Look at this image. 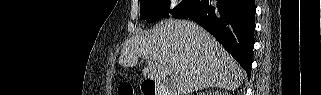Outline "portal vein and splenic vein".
I'll return each instance as SVG.
<instances>
[{"instance_id":"portal-vein-and-splenic-vein-1","label":"portal vein and splenic vein","mask_w":321,"mask_h":95,"mask_svg":"<svg viewBox=\"0 0 321 95\" xmlns=\"http://www.w3.org/2000/svg\"><path fill=\"white\" fill-rule=\"evenodd\" d=\"M170 74H171L173 82H176V74L174 72H170Z\"/></svg>"}]
</instances>
